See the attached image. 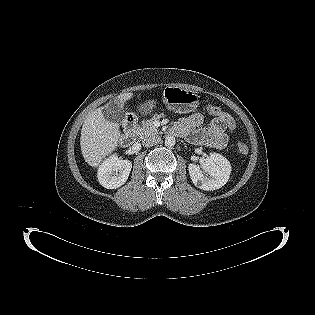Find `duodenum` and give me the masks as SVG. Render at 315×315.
<instances>
[{
  "label": "duodenum",
  "instance_id": "1",
  "mask_svg": "<svg viewBox=\"0 0 315 315\" xmlns=\"http://www.w3.org/2000/svg\"><path fill=\"white\" fill-rule=\"evenodd\" d=\"M136 117L134 115H127L123 123V133L120 137V144L122 146H128L131 143V140L134 136V131L136 128Z\"/></svg>",
  "mask_w": 315,
  "mask_h": 315
}]
</instances>
